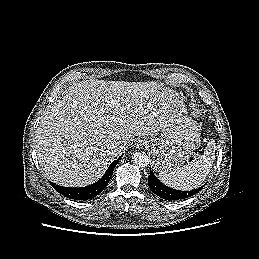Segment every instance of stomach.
Segmentation results:
<instances>
[{
	"label": "stomach",
	"instance_id": "stomach-1",
	"mask_svg": "<svg viewBox=\"0 0 259 259\" xmlns=\"http://www.w3.org/2000/svg\"><path fill=\"white\" fill-rule=\"evenodd\" d=\"M164 93L161 137L151 139L148 148L154 170L170 172L181 167L194 153L200 143V131L196 122L188 116L178 93L167 89Z\"/></svg>",
	"mask_w": 259,
	"mask_h": 259
}]
</instances>
